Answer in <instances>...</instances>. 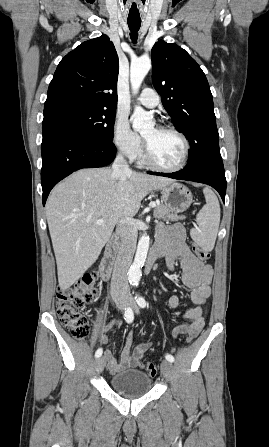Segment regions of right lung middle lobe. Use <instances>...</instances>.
I'll list each match as a JSON object with an SVG mask.
<instances>
[{"mask_svg": "<svg viewBox=\"0 0 269 447\" xmlns=\"http://www.w3.org/2000/svg\"><path fill=\"white\" fill-rule=\"evenodd\" d=\"M115 116L116 108L94 106H64L44 115V117L67 119L86 134L110 142L113 137Z\"/></svg>", "mask_w": 269, "mask_h": 447, "instance_id": "dd1d6c3e", "label": "right lung middle lobe"}]
</instances>
